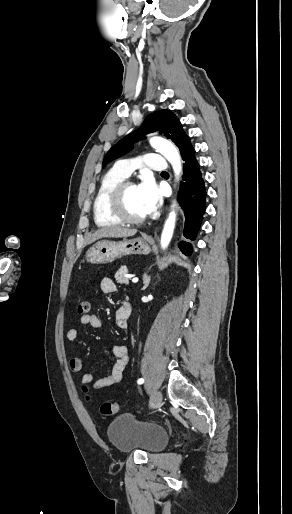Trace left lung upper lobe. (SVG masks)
Instances as JSON below:
<instances>
[{
	"mask_svg": "<svg viewBox=\"0 0 292 514\" xmlns=\"http://www.w3.org/2000/svg\"><path fill=\"white\" fill-rule=\"evenodd\" d=\"M159 132L170 138L179 148L181 156L191 144L190 138L176 115L169 110L156 111L146 117L142 126L116 143L103 160V167L114 159L121 157L133 148V144L145 138L146 134Z\"/></svg>",
	"mask_w": 292,
	"mask_h": 514,
	"instance_id": "5c2ea615",
	"label": "left lung upper lobe"
}]
</instances>
